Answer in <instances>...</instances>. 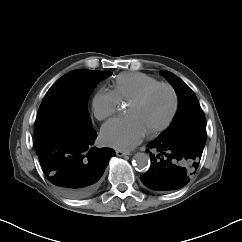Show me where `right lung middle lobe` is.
Segmentation results:
<instances>
[{
  "mask_svg": "<svg viewBox=\"0 0 242 242\" xmlns=\"http://www.w3.org/2000/svg\"><path fill=\"white\" fill-rule=\"evenodd\" d=\"M110 72L74 70L56 81L40 105L35 138L53 129L72 131L93 128L87 102L96 85Z\"/></svg>",
  "mask_w": 242,
  "mask_h": 242,
  "instance_id": "right-lung-middle-lobe-1",
  "label": "right lung middle lobe"
}]
</instances>
